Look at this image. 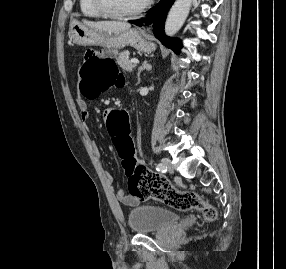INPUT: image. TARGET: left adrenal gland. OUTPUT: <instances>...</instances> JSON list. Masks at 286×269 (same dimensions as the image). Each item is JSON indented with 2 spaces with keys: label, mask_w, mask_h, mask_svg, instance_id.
Listing matches in <instances>:
<instances>
[{
  "label": "left adrenal gland",
  "mask_w": 286,
  "mask_h": 269,
  "mask_svg": "<svg viewBox=\"0 0 286 269\" xmlns=\"http://www.w3.org/2000/svg\"><path fill=\"white\" fill-rule=\"evenodd\" d=\"M152 69V66L148 63V61H144L141 66L138 68V73H137V77H138V84L141 82V78H140V74L143 70H147L150 71Z\"/></svg>",
  "instance_id": "obj_1"
}]
</instances>
